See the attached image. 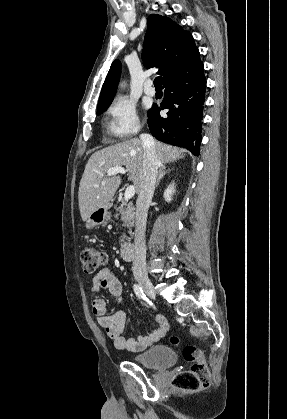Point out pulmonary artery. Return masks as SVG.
<instances>
[{
	"label": "pulmonary artery",
	"instance_id": "pulmonary-artery-1",
	"mask_svg": "<svg viewBox=\"0 0 287 419\" xmlns=\"http://www.w3.org/2000/svg\"><path fill=\"white\" fill-rule=\"evenodd\" d=\"M144 92L148 96H154L155 95L156 91L152 87V81L151 80H147L145 82V84H144Z\"/></svg>",
	"mask_w": 287,
	"mask_h": 419
}]
</instances>
